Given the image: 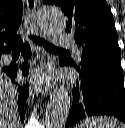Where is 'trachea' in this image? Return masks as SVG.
Returning a JSON list of instances; mask_svg holds the SVG:
<instances>
[{"label": "trachea", "instance_id": "3493384b", "mask_svg": "<svg viewBox=\"0 0 125 128\" xmlns=\"http://www.w3.org/2000/svg\"><path fill=\"white\" fill-rule=\"evenodd\" d=\"M29 38L32 39L36 44L43 46L47 51H67L65 49H61L58 47L53 46L52 44L46 42L45 40L37 37L36 35H29ZM15 52H20V49H16Z\"/></svg>", "mask_w": 125, "mask_h": 128}]
</instances>
